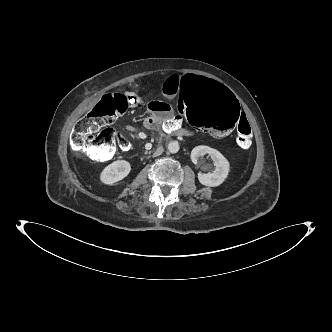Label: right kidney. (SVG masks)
Instances as JSON below:
<instances>
[{
    "instance_id": "right-kidney-1",
    "label": "right kidney",
    "mask_w": 332,
    "mask_h": 332,
    "mask_svg": "<svg viewBox=\"0 0 332 332\" xmlns=\"http://www.w3.org/2000/svg\"><path fill=\"white\" fill-rule=\"evenodd\" d=\"M131 165L126 160H117L106 166L100 173L103 184L113 185L128 176Z\"/></svg>"
}]
</instances>
